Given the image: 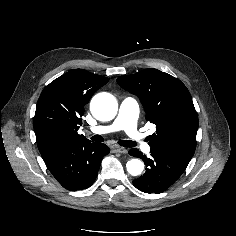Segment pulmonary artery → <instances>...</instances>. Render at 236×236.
<instances>
[{
  "label": "pulmonary artery",
  "instance_id": "e3ab8cb5",
  "mask_svg": "<svg viewBox=\"0 0 236 236\" xmlns=\"http://www.w3.org/2000/svg\"><path fill=\"white\" fill-rule=\"evenodd\" d=\"M139 105L134 98H125L119 107L116 119L109 125H100L91 128L95 134H107L123 130L144 152H150V146L144 141V135L137 129Z\"/></svg>",
  "mask_w": 236,
  "mask_h": 236
}]
</instances>
